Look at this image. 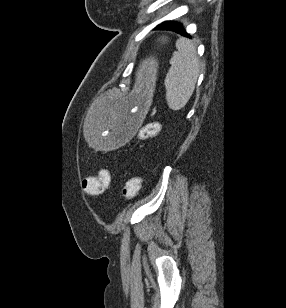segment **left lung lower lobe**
Wrapping results in <instances>:
<instances>
[{
  "instance_id": "0a47b994",
  "label": "left lung lower lobe",
  "mask_w": 286,
  "mask_h": 308,
  "mask_svg": "<svg viewBox=\"0 0 286 308\" xmlns=\"http://www.w3.org/2000/svg\"><path fill=\"white\" fill-rule=\"evenodd\" d=\"M155 29L172 30L177 33H180L183 36L190 37V35L186 33L185 29H183L182 25L173 21H165L162 24L158 25Z\"/></svg>"
}]
</instances>
